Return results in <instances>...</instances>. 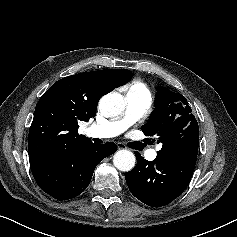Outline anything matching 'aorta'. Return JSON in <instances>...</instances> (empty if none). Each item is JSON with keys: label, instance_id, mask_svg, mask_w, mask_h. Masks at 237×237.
Segmentation results:
<instances>
[{"label": "aorta", "instance_id": "1", "mask_svg": "<svg viewBox=\"0 0 237 237\" xmlns=\"http://www.w3.org/2000/svg\"><path fill=\"white\" fill-rule=\"evenodd\" d=\"M125 101L121 94L110 92L99 101L100 111L109 117L121 114L125 109ZM135 155L128 150H119L113 156L114 166L123 172L130 171L135 166Z\"/></svg>", "mask_w": 237, "mask_h": 237}]
</instances>
